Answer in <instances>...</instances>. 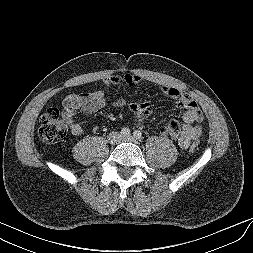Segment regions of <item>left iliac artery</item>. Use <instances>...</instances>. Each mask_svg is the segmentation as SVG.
Returning <instances> with one entry per match:
<instances>
[{
  "mask_svg": "<svg viewBox=\"0 0 253 253\" xmlns=\"http://www.w3.org/2000/svg\"><path fill=\"white\" fill-rule=\"evenodd\" d=\"M133 136L134 138H136L137 140H141L142 139V133L139 130H136L133 132Z\"/></svg>",
  "mask_w": 253,
  "mask_h": 253,
  "instance_id": "1",
  "label": "left iliac artery"
}]
</instances>
